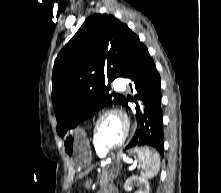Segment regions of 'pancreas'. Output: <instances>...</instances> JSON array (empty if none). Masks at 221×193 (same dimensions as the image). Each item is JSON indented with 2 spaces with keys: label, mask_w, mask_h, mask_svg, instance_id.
<instances>
[{
  "label": "pancreas",
  "mask_w": 221,
  "mask_h": 193,
  "mask_svg": "<svg viewBox=\"0 0 221 193\" xmlns=\"http://www.w3.org/2000/svg\"><path fill=\"white\" fill-rule=\"evenodd\" d=\"M117 176L118 171L111 169L109 166L103 167L100 175V185L102 186L113 181Z\"/></svg>",
  "instance_id": "obj_1"
}]
</instances>
